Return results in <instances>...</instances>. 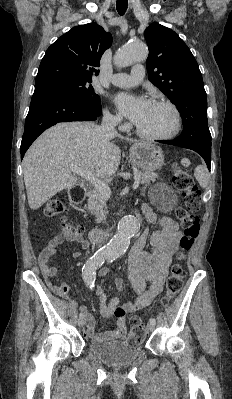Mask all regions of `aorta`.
Here are the masks:
<instances>
[{"instance_id": "obj_1", "label": "aorta", "mask_w": 232, "mask_h": 399, "mask_svg": "<svg viewBox=\"0 0 232 399\" xmlns=\"http://www.w3.org/2000/svg\"><path fill=\"white\" fill-rule=\"evenodd\" d=\"M148 55L147 46L141 42H132L121 47L114 57L117 67H127L134 62L145 60ZM138 231V219L135 216H124L119 224L118 231L110 242L101 250L108 257L123 255L130 244V238Z\"/></svg>"}]
</instances>
